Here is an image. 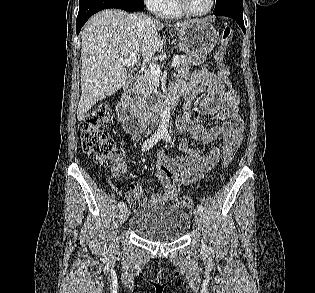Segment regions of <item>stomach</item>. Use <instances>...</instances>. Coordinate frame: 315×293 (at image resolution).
<instances>
[{"label":"stomach","instance_id":"0dacf381","mask_svg":"<svg viewBox=\"0 0 315 293\" xmlns=\"http://www.w3.org/2000/svg\"><path fill=\"white\" fill-rule=\"evenodd\" d=\"M219 33L212 24L204 20H193L178 32V46L193 65L202 64L218 43Z\"/></svg>","mask_w":315,"mask_h":293}]
</instances>
